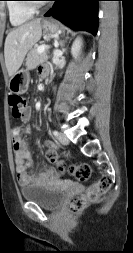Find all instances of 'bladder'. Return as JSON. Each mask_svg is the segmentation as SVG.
I'll use <instances>...</instances> for the list:
<instances>
[{
	"mask_svg": "<svg viewBox=\"0 0 133 253\" xmlns=\"http://www.w3.org/2000/svg\"><path fill=\"white\" fill-rule=\"evenodd\" d=\"M20 193L24 200L36 203L47 210L57 209L64 199L63 191L45 184L23 186Z\"/></svg>",
	"mask_w": 133,
	"mask_h": 253,
	"instance_id": "1",
	"label": "bladder"
}]
</instances>
